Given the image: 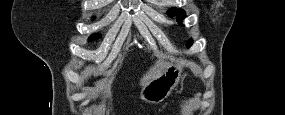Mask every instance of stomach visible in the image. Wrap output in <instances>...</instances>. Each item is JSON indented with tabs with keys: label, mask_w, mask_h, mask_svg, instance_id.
<instances>
[{
	"label": "stomach",
	"mask_w": 285,
	"mask_h": 115,
	"mask_svg": "<svg viewBox=\"0 0 285 115\" xmlns=\"http://www.w3.org/2000/svg\"><path fill=\"white\" fill-rule=\"evenodd\" d=\"M181 74V66L170 65L161 76L153 79L142 88L139 98L146 103L162 102L177 86Z\"/></svg>",
	"instance_id": "stomach-1"
}]
</instances>
